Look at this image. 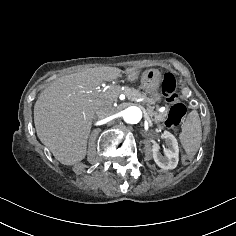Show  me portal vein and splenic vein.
Here are the masks:
<instances>
[{"label":"portal vein and splenic vein","mask_w":236,"mask_h":236,"mask_svg":"<svg viewBox=\"0 0 236 236\" xmlns=\"http://www.w3.org/2000/svg\"><path fill=\"white\" fill-rule=\"evenodd\" d=\"M115 93H113L112 91H110V95L113 96Z\"/></svg>","instance_id":"18ae733b"}]
</instances>
